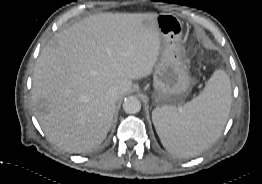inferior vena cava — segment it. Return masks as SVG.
Here are the masks:
<instances>
[{
    "instance_id": "inferior-vena-cava-1",
    "label": "inferior vena cava",
    "mask_w": 262,
    "mask_h": 184,
    "mask_svg": "<svg viewBox=\"0 0 262 184\" xmlns=\"http://www.w3.org/2000/svg\"><path fill=\"white\" fill-rule=\"evenodd\" d=\"M106 98L111 102H116L119 98L117 89L110 88L106 93Z\"/></svg>"
}]
</instances>
